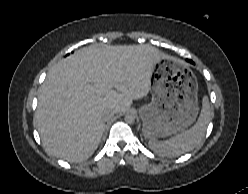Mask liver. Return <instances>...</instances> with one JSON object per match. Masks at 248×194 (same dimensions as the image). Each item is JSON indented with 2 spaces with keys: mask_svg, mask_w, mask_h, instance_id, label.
<instances>
[{
  "mask_svg": "<svg viewBox=\"0 0 248 194\" xmlns=\"http://www.w3.org/2000/svg\"><path fill=\"white\" fill-rule=\"evenodd\" d=\"M163 54L141 45L89 46L62 59L39 88L34 115L45 150L78 163L97 149L108 112H123L149 93Z\"/></svg>",
  "mask_w": 248,
  "mask_h": 194,
  "instance_id": "obj_1",
  "label": "liver"
}]
</instances>
